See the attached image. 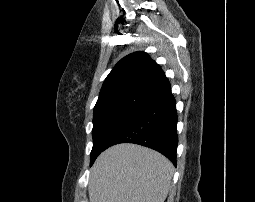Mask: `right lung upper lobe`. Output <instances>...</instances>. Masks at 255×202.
Instances as JSON below:
<instances>
[{
  "instance_id": "right-lung-upper-lobe-1",
  "label": "right lung upper lobe",
  "mask_w": 255,
  "mask_h": 202,
  "mask_svg": "<svg viewBox=\"0 0 255 202\" xmlns=\"http://www.w3.org/2000/svg\"><path fill=\"white\" fill-rule=\"evenodd\" d=\"M171 94L164 72L145 52H134L121 59L102 86L94 115L117 111H139Z\"/></svg>"
}]
</instances>
